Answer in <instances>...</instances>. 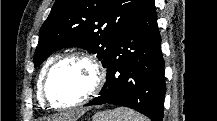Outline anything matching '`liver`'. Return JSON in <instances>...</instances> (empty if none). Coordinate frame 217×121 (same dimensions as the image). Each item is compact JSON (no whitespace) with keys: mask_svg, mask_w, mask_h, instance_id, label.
Here are the masks:
<instances>
[{"mask_svg":"<svg viewBox=\"0 0 217 121\" xmlns=\"http://www.w3.org/2000/svg\"><path fill=\"white\" fill-rule=\"evenodd\" d=\"M59 121H63V119H65V116H60L57 118Z\"/></svg>","mask_w":217,"mask_h":121,"instance_id":"obj_1","label":"liver"}]
</instances>
